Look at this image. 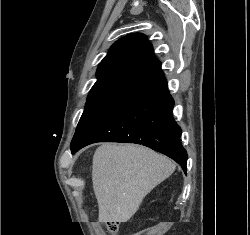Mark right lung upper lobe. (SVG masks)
Returning <instances> with one entry per match:
<instances>
[{
  "mask_svg": "<svg viewBox=\"0 0 250 235\" xmlns=\"http://www.w3.org/2000/svg\"><path fill=\"white\" fill-rule=\"evenodd\" d=\"M163 74L152 44L141 33L116 41L97 69V81L88 97L132 96Z\"/></svg>",
  "mask_w": 250,
  "mask_h": 235,
  "instance_id": "cb5924a9",
  "label": "right lung upper lobe"
}]
</instances>
